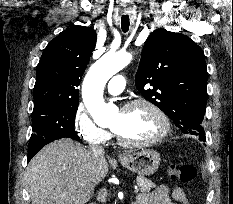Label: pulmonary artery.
Listing matches in <instances>:
<instances>
[{"label": "pulmonary artery", "mask_w": 233, "mask_h": 204, "mask_svg": "<svg viewBox=\"0 0 233 204\" xmlns=\"http://www.w3.org/2000/svg\"><path fill=\"white\" fill-rule=\"evenodd\" d=\"M125 88V78L122 75H115L107 84V91L112 95L120 94Z\"/></svg>", "instance_id": "1"}]
</instances>
